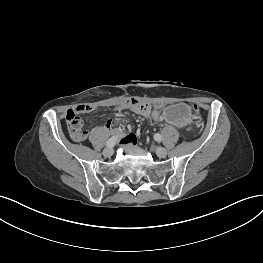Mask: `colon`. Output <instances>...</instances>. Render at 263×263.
<instances>
[{"instance_id":"1","label":"colon","mask_w":263,"mask_h":263,"mask_svg":"<svg viewBox=\"0 0 263 263\" xmlns=\"http://www.w3.org/2000/svg\"><path fill=\"white\" fill-rule=\"evenodd\" d=\"M194 110H195V115L199 117L200 111L196 105L194 106ZM66 123H67L69 134L73 140L82 141L85 139L86 131L83 129V121L77 112L72 110L69 111L66 115Z\"/></svg>"}]
</instances>
